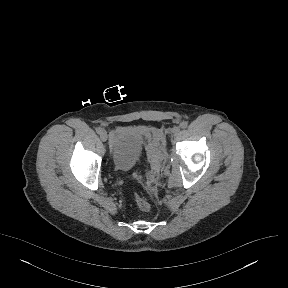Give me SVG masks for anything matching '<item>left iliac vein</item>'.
Listing matches in <instances>:
<instances>
[{
  "label": "left iliac vein",
  "instance_id": "left-iliac-vein-1",
  "mask_svg": "<svg viewBox=\"0 0 288 288\" xmlns=\"http://www.w3.org/2000/svg\"><path fill=\"white\" fill-rule=\"evenodd\" d=\"M179 131H180V127H179V126H175V127H173L172 130H171V132H172L173 134H177Z\"/></svg>",
  "mask_w": 288,
  "mask_h": 288
}]
</instances>
